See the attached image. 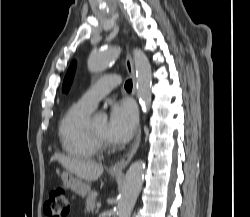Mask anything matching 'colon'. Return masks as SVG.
I'll return each instance as SVG.
<instances>
[{
  "instance_id": "5ec220e1",
  "label": "colon",
  "mask_w": 250,
  "mask_h": 217,
  "mask_svg": "<svg viewBox=\"0 0 250 217\" xmlns=\"http://www.w3.org/2000/svg\"><path fill=\"white\" fill-rule=\"evenodd\" d=\"M45 217H69L70 202L63 188H54L50 191L44 205Z\"/></svg>"
}]
</instances>
